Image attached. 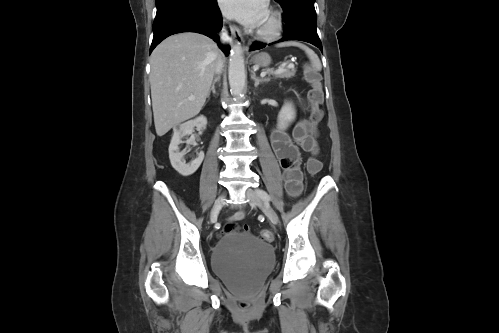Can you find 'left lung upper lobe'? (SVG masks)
I'll use <instances>...</instances> for the list:
<instances>
[{"label":"left lung upper lobe","instance_id":"obj_1","mask_svg":"<svg viewBox=\"0 0 499 333\" xmlns=\"http://www.w3.org/2000/svg\"><path fill=\"white\" fill-rule=\"evenodd\" d=\"M276 1L279 2L281 5H284L288 0H276Z\"/></svg>","mask_w":499,"mask_h":333}]
</instances>
